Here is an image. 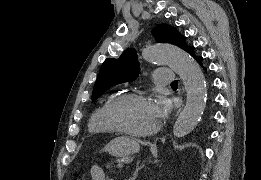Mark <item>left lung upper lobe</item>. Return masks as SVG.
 <instances>
[{
    "label": "left lung upper lobe",
    "instance_id": "obj_1",
    "mask_svg": "<svg viewBox=\"0 0 261 180\" xmlns=\"http://www.w3.org/2000/svg\"><path fill=\"white\" fill-rule=\"evenodd\" d=\"M153 35L159 43H172L186 52L190 48L186 44L185 37L176 28L169 25H157L153 30ZM139 71V63L134 49L124 51L117 59H106L96 80L92 100H96L112 86L134 80Z\"/></svg>",
    "mask_w": 261,
    "mask_h": 180
}]
</instances>
